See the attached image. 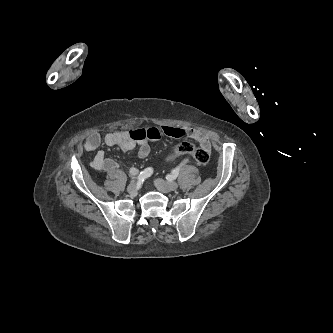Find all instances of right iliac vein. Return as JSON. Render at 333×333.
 <instances>
[{
	"label": "right iliac vein",
	"instance_id": "1",
	"mask_svg": "<svg viewBox=\"0 0 333 333\" xmlns=\"http://www.w3.org/2000/svg\"><path fill=\"white\" fill-rule=\"evenodd\" d=\"M127 191L132 194L135 195L137 193V184L136 183H131L128 185L127 187Z\"/></svg>",
	"mask_w": 333,
	"mask_h": 333
}]
</instances>
